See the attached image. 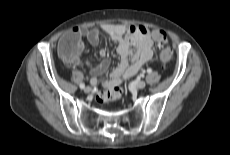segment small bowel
I'll return each mask as SVG.
<instances>
[{"label":"small bowel","instance_id":"obj_1","mask_svg":"<svg viewBox=\"0 0 230 155\" xmlns=\"http://www.w3.org/2000/svg\"><path fill=\"white\" fill-rule=\"evenodd\" d=\"M102 31L118 44L117 51L121 57L110 78L104 82L106 87L112 88L136 74L142 65L151 60L154 53L153 42L155 41L153 32L156 30L151 33L146 27L141 25L126 28L122 24H108L102 27ZM69 34H74L79 38V45L72 61L76 65H82L83 62L79 58V52L83 47L82 38L85 37L89 44L95 47L99 43L100 31L96 28L75 27L64 37ZM100 58L101 60L97 64L88 63L90 73L94 76L91 79L93 86H96L99 82L95 76L105 72L109 66L105 51L100 52Z\"/></svg>","mask_w":230,"mask_h":155}]
</instances>
